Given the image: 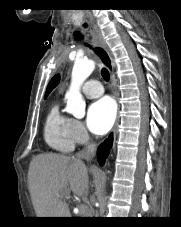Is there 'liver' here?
Listing matches in <instances>:
<instances>
[{
	"mask_svg": "<svg viewBox=\"0 0 181 227\" xmlns=\"http://www.w3.org/2000/svg\"><path fill=\"white\" fill-rule=\"evenodd\" d=\"M28 184L38 217H70L65 200L70 191L78 196L88 192V168L79 158L39 154L30 163Z\"/></svg>",
	"mask_w": 181,
	"mask_h": 227,
	"instance_id": "obj_1",
	"label": "liver"
}]
</instances>
